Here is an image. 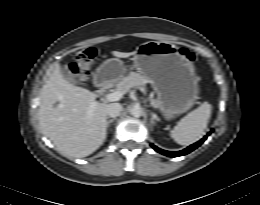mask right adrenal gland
<instances>
[{"label":"right adrenal gland","mask_w":260,"mask_h":205,"mask_svg":"<svg viewBox=\"0 0 260 205\" xmlns=\"http://www.w3.org/2000/svg\"><path fill=\"white\" fill-rule=\"evenodd\" d=\"M114 120H116V118H112V119H109V120L107 121V128L110 126V124H111Z\"/></svg>","instance_id":"2a0ac1e0"}]
</instances>
